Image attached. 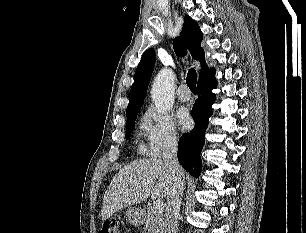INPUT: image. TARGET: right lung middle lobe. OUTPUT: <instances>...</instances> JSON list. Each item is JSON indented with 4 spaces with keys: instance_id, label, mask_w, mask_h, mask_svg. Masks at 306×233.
<instances>
[{
    "instance_id": "obj_1",
    "label": "right lung middle lobe",
    "mask_w": 306,
    "mask_h": 233,
    "mask_svg": "<svg viewBox=\"0 0 306 233\" xmlns=\"http://www.w3.org/2000/svg\"><path fill=\"white\" fill-rule=\"evenodd\" d=\"M137 114L138 112H135L131 115H128L127 116V132H126V139H129L130 136H131V132L133 130V126H134V123H135V120H136V117H137Z\"/></svg>"
}]
</instances>
